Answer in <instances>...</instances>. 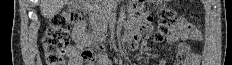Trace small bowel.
<instances>
[{"label":"small bowel","instance_id":"small-bowel-1","mask_svg":"<svg viewBox=\"0 0 232 65\" xmlns=\"http://www.w3.org/2000/svg\"><path fill=\"white\" fill-rule=\"evenodd\" d=\"M133 17H144V20H146L145 22L148 24L151 20V13L133 12ZM136 31H138V33L134 34L135 38H147V34H149L150 31V26H136ZM72 37L75 44L69 46L66 50L67 56L69 57L68 64L82 65V61L80 59V51L94 42V36L90 33H87L85 24L80 22L74 26ZM119 39H122V36H119ZM189 39L196 42L201 41V32L194 24L188 22L184 18H179L175 24L173 32L168 38V42L173 44L177 42H184ZM181 46L177 53V59L174 64L199 65L200 56L197 53L190 52L188 47L187 50L183 52L181 50ZM125 47L135 48L137 47V41L135 39H132L131 42H125ZM98 65H109L108 58L104 53L100 54Z\"/></svg>","mask_w":232,"mask_h":65}]
</instances>
